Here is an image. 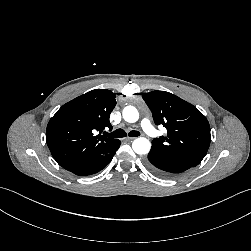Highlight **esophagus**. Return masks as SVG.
Returning a JSON list of instances; mask_svg holds the SVG:
<instances>
[{
	"mask_svg": "<svg viewBox=\"0 0 251 251\" xmlns=\"http://www.w3.org/2000/svg\"><path fill=\"white\" fill-rule=\"evenodd\" d=\"M135 139V137H126L125 140L126 141H133Z\"/></svg>",
	"mask_w": 251,
	"mask_h": 251,
	"instance_id": "esophagus-1",
	"label": "esophagus"
}]
</instances>
